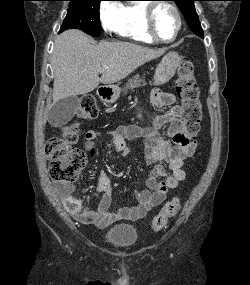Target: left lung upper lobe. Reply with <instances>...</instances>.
Instances as JSON below:
<instances>
[{
  "instance_id": "left-lung-upper-lobe-1",
  "label": "left lung upper lobe",
  "mask_w": 250,
  "mask_h": 285,
  "mask_svg": "<svg viewBox=\"0 0 250 285\" xmlns=\"http://www.w3.org/2000/svg\"><path fill=\"white\" fill-rule=\"evenodd\" d=\"M183 13L185 20L196 35L203 38V30L200 25L198 15L195 10L194 1L196 0H173Z\"/></svg>"
}]
</instances>
